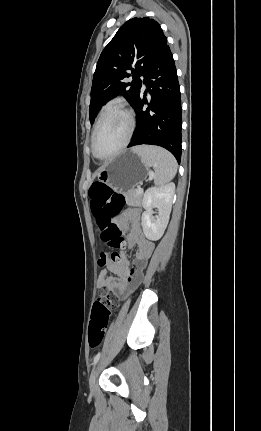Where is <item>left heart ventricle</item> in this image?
I'll use <instances>...</instances> for the list:
<instances>
[{
  "label": "left heart ventricle",
  "instance_id": "left-heart-ventricle-1",
  "mask_svg": "<svg viewBox=\"0 0 261 431\" xmlns=\"http://www.w3.org/2000/svg\"><path fill=\"white\" fill-rule=\"evenodd\" d=\"M128 132V121L120 111H111L104 117L95 139L96 153L105 157L123 143Z\"/></svg>",
  "mask_w": 261,
  "mask_h": 431
}]
</instances>
